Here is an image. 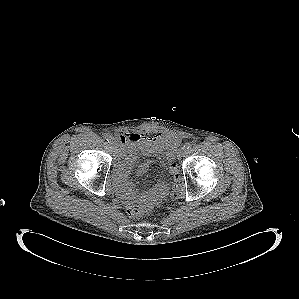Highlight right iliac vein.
<instances>
[{
	"instance_id": "63e3f726",
	"label": "right iliac vein",
	"mask_w": 299,
	"mask_h": 299,
	"mask_svg": "<svg viewBox=\"0 0 299 299\" xmlns=\"http://www.w3.org/2000/svg\"><path fill=\"white\" fill-rule=\"evenodd\" d=\"M116 145H117V141L115 139H113V141L111 142V146L113 148H116Z\"/></svg>"
}]
</instances>
